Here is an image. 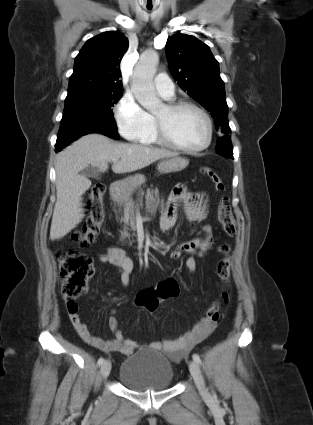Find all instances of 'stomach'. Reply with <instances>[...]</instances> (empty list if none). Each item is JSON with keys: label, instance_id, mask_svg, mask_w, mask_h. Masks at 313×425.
<instances>
[{"label": "stomach", "instance_id": "1", "mask_svg": "<svg viewBox=\"0 0 313 425\" xmlns=\"http://www.w3.org/2000/svg\"><path fill=\"white\" fill-rule=\"evenodd\" d=\"M188 164L189 160L187 158L175 156L162 160L158 164L157 169L161 174L175 173L185 169ZM145 181L146 178L142 174L129 176L115 184L116 195H130L134 190L144 184Z\"/></svg>", "mask_w": 313, "mask_h": 425}]
</instances>
